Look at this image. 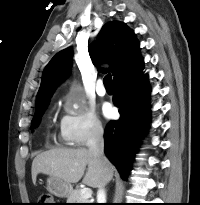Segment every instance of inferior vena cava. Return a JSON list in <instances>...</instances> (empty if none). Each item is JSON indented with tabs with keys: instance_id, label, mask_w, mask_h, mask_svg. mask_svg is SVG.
Here are the masks:
<instances>
[{
	"instance_id": "1",
	"label": "inferior vena cava",
	"mask_w": 200,
	"mask_h": 205,
	"mask_svg": "<svg viewBox=\"0 0 200 205\" xmlns=\"http://www.w3.org/2000/svg\"><path fill=\"white\" fill-rule=\"evenodd\" d=\"M88 151L97 158H104V139L103 128L99 124H95L91 128L90 136L87 140ZM98 203H105L106 192L104 185L100 186L97 191Z\"/></svg>"
}]
</instances>
